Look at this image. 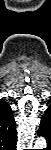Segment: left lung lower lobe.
Here are the masks:
<instances>
[{
  "mask_svg": "<svg viewBox=\"0 0 51 150\" xmlns=\"http://www.w3.org/2000/svg\"><path fill=\"white\" fill-rule=\"evenodd\" d=\"M38 135H40V133H38ZM47 141L49 142V140L47 139Z\"/></svg>",
  "mask_w": 51,
  "mask_h": 150,
  "instance_id": "1",
  "label": "left lung lower lobe"
}]
</instances>
